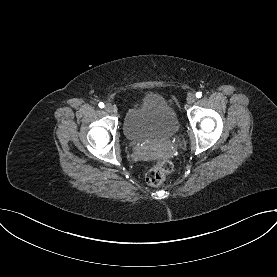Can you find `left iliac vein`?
I'll list each match as a JSON object with an SVG mask.
<instances>
[{
  "instance_id": "left-iliac-vein-1",
  "label": "left iliac vein",
  "mask_w": 277,
  "mask_h": 277,
  "mask_svg": "<svg viewBox=\"0 0 277 277\" xmlns=\"http://www.w3.org/2000/svg\"><path fill=\"white\" fill-rule=\"evenodd\" d=\"M196 101V96L193 93H189L187 96V103L193 104Z\"/></svg>"
}]
</instances>
